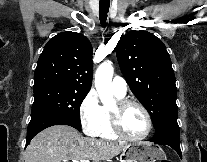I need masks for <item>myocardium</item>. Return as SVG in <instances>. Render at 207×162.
<instances>
[{
    "instance_id": "f54148a6",
    "label": "myocardium",
    "mask_w": 207,
    "mask_h": 162,
    "mask_svg": "<svg viewBox=\"0 0 207 162\" xmlns=\"http://www.w3.org/2000/svg\"><path fill=\"white\" fill-rule=\"evenodd\" d=\"M130 106H136L138 107L145 115L146 118V130L143 134L139 136H129L126 135L120 125V117L121 114ZM109 118H110V124L111 129L114 133V135L118 138L130 140V141H139L145 139L152 131L153 123L151 115L148 111V109L140 102L132 99H122L118 100L114 107L109 110Z\"/></svg>"
}]
</instances>
